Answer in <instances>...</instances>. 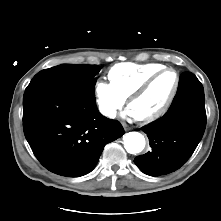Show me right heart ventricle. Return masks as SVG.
<instances>
[{
	"label": "right heart ventricle",
	"instance_id": "right-heart-ventricle-1",
	"mask_svg": "<svg viewBox=\"0 0 221 221\" xmlns=\"http://www.w3.org/2000/svg\"><path fill=\"white\" fill-rule=\"evenodd\" d=\"M164 67L158 63H120L108 71V78L115 90L126 100L150 75Z\"/></svg>",
	"mask_w": 221,
	"mask_h": 221
}]
</instances>
